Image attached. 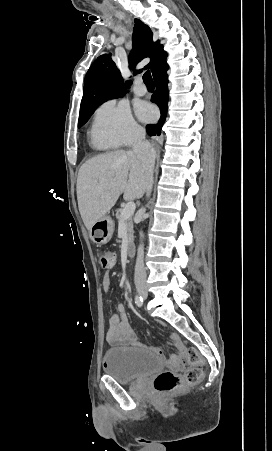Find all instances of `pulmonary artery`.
I'll return each mask as SVG.
<instances>
[{
  "mask_svg": "<svg viewBox=\"0 0 272 451\" xmlns=\"http://www.w3.org/2000/svg\"><path fill=\"white\" fill-rule=\"evenodd\" d=\"M143 85L138 84L136 85L135 89H134V94L137 96H144L145 95V91Z\"/></svg>",
  "mask_w": 272,
  "mask_h": 451,
  "instance_id": "pulmonary-artery-1",
  "label": "pulmonary artery"
}]
</instances>
